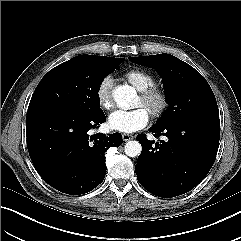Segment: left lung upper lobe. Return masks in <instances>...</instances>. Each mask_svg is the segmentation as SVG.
I'll return each mask as SVG.
<instances>
[{
    "label": "left lung upper lobe",
    "instance_id": "5c2ea615",
    "mask_svg": "<svg viewBox=\"0 0 241 241\" xmlns=\"http://www.w3.org/2000/svg\"><path fill=\"white\" fill-rule=\"evenodd\" d=\"M129 60L155 68L162 77L169 106L156 126H166L190 118L219 120L214 93L204 77L192 66L165 53L129 57Z\"/></svg>",
    "mask_w": 241,
    "mask_h": 241
}]
</instances>
